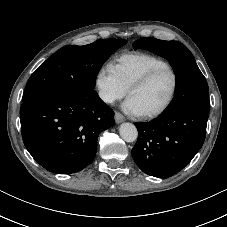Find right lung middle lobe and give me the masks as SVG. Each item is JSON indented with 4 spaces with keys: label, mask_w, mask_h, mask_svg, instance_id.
<instances>
[{
    "label": "right lung middle lobe",
    "mask_w": 227,
    "mask_h": 227,
    "mask_svg": "<svg viewBox=\"0 0 227 227\" xmlns=\"http://www.w3.org/2000/svg\"><path fill=\"white\" fill-rule=\"evenodd\" d=\"M126 40L102 39L94 43L59 49L31 75L23 101L33 97L66 92L82 96L95 94L96 76L103 63Z\"/></svg>",
    "instance_id": "1"
}]
</instances>
